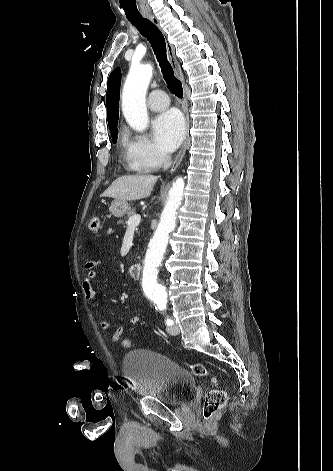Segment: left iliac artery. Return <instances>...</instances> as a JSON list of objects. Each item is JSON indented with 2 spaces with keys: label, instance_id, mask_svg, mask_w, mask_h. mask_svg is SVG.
Segmentation results:
<instances>
[{
  "label": "left iliac artery",
  "instance_id": "1",
  "mask_svg": "<svg viewBox=\"0 0 333 471\" xmlns=\"http://www.w3.org/2000/svg\"><path fill=\"white\" fill-rule=\"evenodd\" d=\"M166 324H167L168 326H172V325L174 324V322H173L172 319L167 318V319H166Z\"/></svg>",
  "mask_w": 333,
  "mask_h": 471
}]
</instances>
